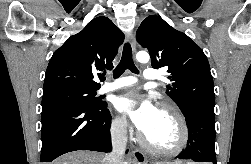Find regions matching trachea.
Instances as JSON below:
<instances>
[{
	"instance_id": "3493384b",
	"label": "trachea",
	"mask_w": 251,
	"mask_h": 164,
	"mask_svg": "<svg viewBox=\"0 0 251 164\" xmlns=\"http://www.w3.org/2000/svg\"><path fill=\"white\" fill-rule=\"evenodd\" d=\"M126 69H129L131 72L136 74L139 73L138 69L134 65L132 59V49L129 43L124 45L121 61L113 71L114 78L120 77Z\"/></svg>"
}]
</instances>
